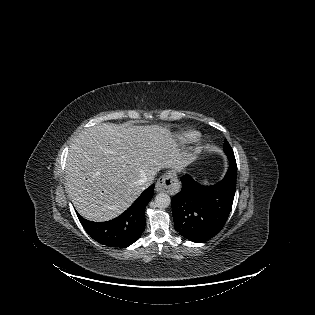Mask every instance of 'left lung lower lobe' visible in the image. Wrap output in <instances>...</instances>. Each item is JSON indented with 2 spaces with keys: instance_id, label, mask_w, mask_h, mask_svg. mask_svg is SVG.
Segmentation results:
<instances>
[{
  "instance_id": "1",
  "label": "left lung lower lobe",
  "mask_w": 315,
  "mask_h": 315,
  "mask_svg": "<svg viewBox=\"0 0 315 315\" xmlns=\"http://www.w3.org/2000/svg\"><path fill=\"white\" fill-rule=\"evenodd\" d=\"M237 165L230 162L222 181L202 186L189 175L181 177L182 190L172 198L176 230L193 242L203 243L225 225L236 191Z\"/></svg>"
}]
</instances>
